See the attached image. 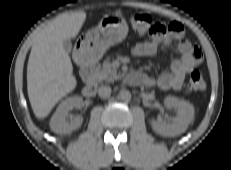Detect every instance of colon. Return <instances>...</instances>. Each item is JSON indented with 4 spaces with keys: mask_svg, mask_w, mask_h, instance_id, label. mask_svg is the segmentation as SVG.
I'll return each instance as SVG.
<instances>
[{
    "mask_svg": "<svg viewBox=\"0 0 231 170\" xmlns=\"http://www.w3.org/2000/svg\"><path fill=\"white\" fill-rule=\"evenodd\" d=\"M130 24L135 32L141 35L148 34L151 37H161L166 34L167 27L155 22L150 15L135 13L130 18ZM206 88V80L203 73L196 69L193 70L187 83L188 92H198Z\"/></svg>",
    "mask_w": 231,
    "mask_h": 170,
    "instance_id": "1",
    "label": "colon"
}]
</instances>
